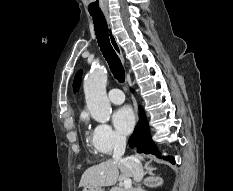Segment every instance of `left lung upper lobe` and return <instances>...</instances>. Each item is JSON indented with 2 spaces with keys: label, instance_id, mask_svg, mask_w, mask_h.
<instances>
[{
  "label": "left lung upper lobe",
  "instance_id": "obj_1",
  "mask_svg": "<svg viewBox=\"0 0 233 191\" xmlns=\"http://www.w3.org/2000/svg\"><path fill=\"white\" fill-rule=\"evenodd\" d=\"M81 75H82V73H81V71H79V72L76 74L75 78H74L73 88H74V91H75V92L78 91V89H79L80 80H81Z\"/></svg>",
  "mask_w": 233,
  "mask_h": 191
}]
</instances>
